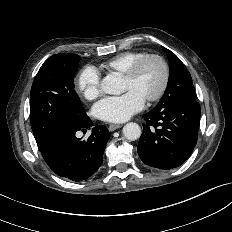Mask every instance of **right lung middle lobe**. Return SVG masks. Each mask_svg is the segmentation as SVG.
<instances>
[{
	"instance_id": "obj_1",
	"label": "right lung middle lobe",
	"mask_w": 232,
	"mask_h": 232,
	"mask_svg": "<svg viewBox=\"0 0 232 232\" xmlns=\"http://www.w3.org/2000/svg\"><path fill=\"white\" fill-rule=\"evenodd\" d=\"M77 54L51 56L39 69L30 93L31 128L40 151L63 124H79L86 119L74 89Z\"/></svg>"
}]
</instances>
